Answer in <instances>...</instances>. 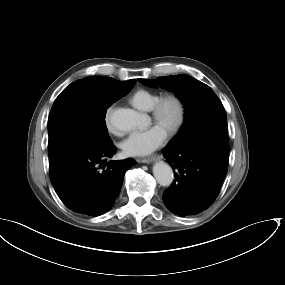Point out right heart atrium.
<instances>
[{
	"label": "right heart atrium",
	"mask_w": 285,
	"mask_h": 285,
	"mask_svg": "<svg viewBox=\"0 0 285 285\" xmlns=\"http://www.w3.org/2000/svg\"><path fill=\"white\" fill-rule=\"evenodd\" d=\"M111 113H112V108L109 107L106 110V121H107V125H108L109 130L115 131L114 128L112 127V125H111Z\"/></svg>",
	"instance_id": "1"
}]
</instances>
